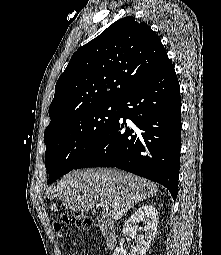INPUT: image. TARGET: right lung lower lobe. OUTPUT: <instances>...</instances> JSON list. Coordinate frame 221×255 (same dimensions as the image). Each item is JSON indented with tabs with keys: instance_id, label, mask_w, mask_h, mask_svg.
Returning <instances> with one entry per match:
<instances>
[{
	"instance_id": "98d812e1",
	"label": "right lung lower lobe",
	"mask_w": 221,
	"mask_h": 255,
	"mask_svg": "<svg viewBox=\"0 0 221 255\" xmlns=\"http://www.w3.org/2000/svg\"><path fill=\"white\" fill-rule=\"evenodd\" d=\"M119 105L115 122L74 169H123L162 184L175 200L180 168L181 99L179 82L168 57Z\"/></svg>"
}]
</instances>
